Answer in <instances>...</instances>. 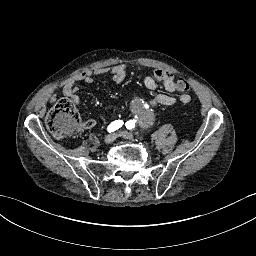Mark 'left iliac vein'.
Masks as SVG:
<instances>
[{
  "label": "left iliac vein",
  "instance_id": "4c4485c4",
  "mask_svg": "<svg viewBox=\"0 0 256 256\" xmlns=\"http://www.w3.org/2000/svg\"><path fill=\"white\" fill-rule=\"evenodd\" d=\"M118 135L124 139H130L133 137V135L127 131H120Z\"/></svg>",
  "mask_w": 256,
  "mask_h": 256
}]
</instances>
